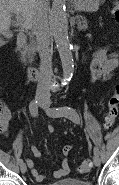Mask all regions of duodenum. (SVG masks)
Instances as JSON below:
<instances>
[{
    "label": "duodenum",
    "mask_w": 119,
    "mask_h": 185,
    "mask_svg": "<svg viewBox=\"0 0 119 185\" xmlns=\"http://www.w3.org/2000/svg\"><path fill=\"white\" fill-rule=\"evenodd\" d=\"M16 47L19 54V60L21 63L25 62V48H26V36L19 34L17 36ZM27 77L31 81H36L41 77V71L35 67L26 68Z\"/></svg>",
    "instance_id": "410a0bca"
}]
</instances>
